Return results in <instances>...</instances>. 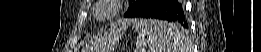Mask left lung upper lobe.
<instances>
[{
  "label": "left lung upper lobe",
  "instance_id": "obj_1",
  "mask_svg": "<svg viewBox=\"0 0 261 52\" xmlns=\"http://www.w3.org/2000/svg\"><path fill=\"white\" fill-rule=\"evenodd\" d=\"M131 2L125 17H136V15L154 0H129Z\"/></svg>",
  "mask_w": 261,
  "mask_h": 52
}]
</instances>
